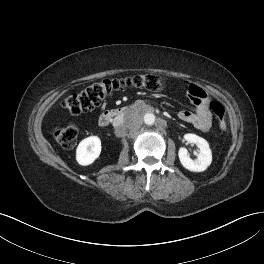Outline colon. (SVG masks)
I'll return each mask as SVG.
<instances>
[{
	"instance_id": "obj_1",
	"label": "colon",
	"mask_w": 264,
	"mask_h": 264,
	"mask_svg": "<svg viewBox=\"0 0 264 264\" xmlns=\"http://www.w3.org/2000/svg\"><path fill=\"white\" fill-rule=\"evenodd\" d=\"M130 87L159 92L164 89L165 83L161 77L155 74L104 79L78 93L66 97L62 101V107L72 114L84 113L100 105L112 93ZM210 109L214 113L220 129L225 131L227 124L223 107L213 101L210 103ZM53 135L62 147L70 149L77 143L78 128L75 125L57 126L53 130Z\"/></svg>"
}]
</instances>
